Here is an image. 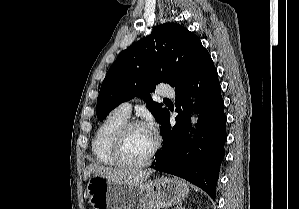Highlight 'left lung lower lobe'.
Listing matches in <instances>:
<instances>
[{
	"label": "left lung lower lobe",
	"mask_w": 299,
	"mask_h": 209,
	"mask_svg": "<svg viewBox=\"0 0 299 209\" xmlns=\"http://www.w3.org/2000/svg\"><path fill=\"white\" fill-rule=\"evenodd\" d=\"M176 124L170 125V113L164 118L160 134L164 144L151 168L188 180L215 199L220 162L224 158L226 116L217 70L210 58L186 83L175 87ZM191 95H195L199 120L195 136L189 138ZM194 130V129H193Z\"/></svg>",
	"instance_id": "1"
}]
</instances>
